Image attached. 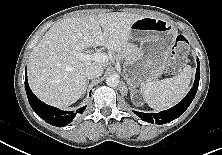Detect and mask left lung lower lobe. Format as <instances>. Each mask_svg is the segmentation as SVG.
Masks as SVG:
<instances>
[{
    "label": "left lung lower lobe",
    "instance_id": "obj_1",
    "mask_svg": "<svg viewBox=\"0 0 222 155\" xmlns=\"http://www.w3.org/2000/svg\"><path fill=\"white\" fill-rule=\"evenodd\" d=\"M199 79H200V62L197 58V69H196V77L195 82L193 84V87L189 91V93L186 95V97L178 103L176 106L154 114H148V113H142L138 111H134V113L140 117L143 121L149 122V123H156V124H166L174 119L178 118L181 114L184 113V111L188 108V106L191 104L192 100L194 99L198 85H199Z\"/></svg>",
    "mask_w": 222,
    "mask_h": 155
}]
</instances>
